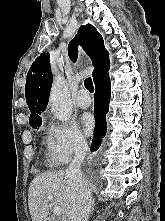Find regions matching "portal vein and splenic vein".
<instances>
[{
  "mask_svg": "<svg viewBox=\"0 0 165 221\" xmlns=\"http://www.w3.org/2000/svg\"><path fill=\"white\" fill-rule=\"evenodd\" d=\"M47 198L49 200H53V196L52 195H47ZM53 213L56 215V216H61L63 214V209L59 206H55L53 208Z\"/></svg>",
  "mask_w": 165,
  "mask_h": 221,
  "instance_id": "1",
  "label": "portal vein and splenic vein"
}]
</instances>
